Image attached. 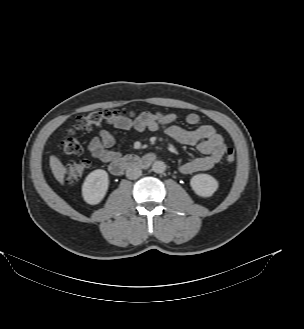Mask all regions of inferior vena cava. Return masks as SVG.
<instances>
[{
  "label": "inferior vena cava",
  "mask_w": 304,
  "mask_h": 329,
  "mask_svg": "<svg viewBox=\"0 0 304 329\" xmlns=\"http://www.w3.org/2000/svg\"><path fill=\"white\" fill-rule=\"evenodd\" d=\"M141 175H142V171L137 166H130L126 170V177L130 180H135V179L139 178Z\"/></svg>",
  "instance_id": "1"
}]
</instances>
